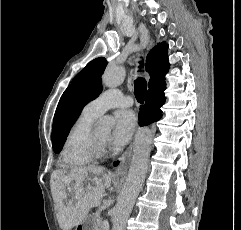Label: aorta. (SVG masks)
Returning a JSON list of instances; mask_svg holds the SVG:
<instances>
[{"instance_id":"1","label":"aorta","mask_w":241,"mask_h":230,"mask_svg":"<svg viewBox=\"0 0 241 230\" xmlns=\"http://www.w3.org/2000/svg\"><path fill=\"white\" fill-rule=\"evenodd\" d=\"M124 78L125 70L122 66H110L102 75V83L108 88H113L119 86ZM98 123L102 128L109 130L114 121L112 118L103 117ZM151 143V131L148 128L140 129L135 136L133 155L126 181L113 209L112 230H125L127 220L147 174Z\"/></svg>"}]
</instances>
